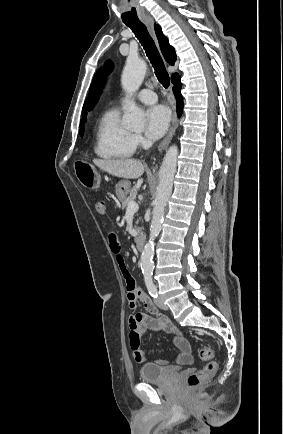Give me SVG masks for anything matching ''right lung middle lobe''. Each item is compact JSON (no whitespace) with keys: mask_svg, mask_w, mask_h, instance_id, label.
Here are the masks:
<instances>
[{"mask_svg":"<svg viewBox=\"0 0 283 434\" xmlns=\"http://www.w3.org/2000/svg\"><path fill=\"white\" fill-rule=\"evenodd\" d=\"M83 125H84V123H81L80 124V127H81V129H80V134L82 135V133H83Z\"/></svg>","mask_w":283,"mask_h":434,"instance_id":"right-lung-middle-lobe-1","label":"right lung middle lobe"}]
</instances>
